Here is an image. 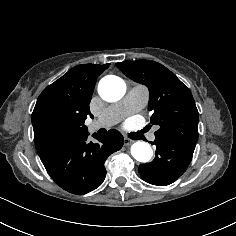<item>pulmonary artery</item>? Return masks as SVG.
Wrapping results in <instances>:
<instances>
[{
	"label": "pulmonary artery",
	"mask_w": 236,
	"mask_h": 236,
	"mask_svg": "<svg viewBox=\"0 0 236 236\" xmlns=\"http://www.w3.org/2000/svg\"><path fill=\"white\" fill-rule=\"evenodd\" d=\"M139 90H144V89H140V88H135L127 97L126 99V102L122 103L121 104V107L123 108H128L126 111H127V114L129 113H133V112H136V111H131V108L133 107V103H132V97L139 91ZM145 91V90H144ZM119 106L116 105L114 107H111L109 108L108 112L109 113H112L115 109H117ZM118 122V119L117 118H114L112 119L111 121L105 123L103 120L101 119H98V120H94L92 121L90 124H89V129L90 131H95L101 127H110V126H113L115 125L116 123ZM149 139L151 141H154L155 140V135L153 133H150L149 134Z\"/></svg>",
	"instance_id": "obj_1"
}]
</instances>
